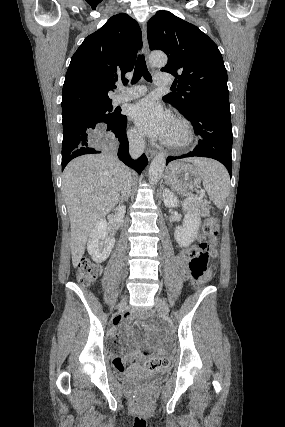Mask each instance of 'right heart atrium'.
<instances>
[{"mask_svg":"<svg viewBox=\"0 0 285 427\" xmlns=\"http://www.w3.org/2000/svg\"><path fill=\"white\" fill-rule=\"evenodd\" d=\"M129 137L132 142L136 144H140L143 141V135L142 133L137 130L136 128H132L129 132Z\"/></svg>","mask_w":285,"mask_h":427,"instance_id":"1","label":"right heart atrium"}]
</instances>
